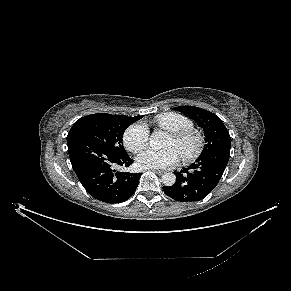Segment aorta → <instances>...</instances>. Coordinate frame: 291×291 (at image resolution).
Returning a JSON list of instances; mask_svg holds the SVG:
<instances>
[{"label":"aorta","mask_w":291,"mask_h":291,"mask_svg":"<svg viewBox=\"0 0 291 291\" xmlns=\"http://www.w3.org/2000/svg\"><path fill=\"white\" fill-rule=\"evenodd\" d=\"M167 137L164 132H158L151 135L150 146L153 149H159L163 146V140ZM162 182L165 186H172L176 182V176L172 172H166L162 175Z\"/></svg>","instance_id":"762f6f07"}]
</instances>
